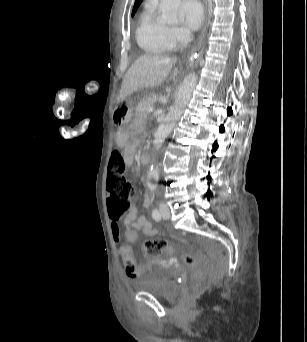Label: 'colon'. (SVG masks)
Listing matches in <instances>:
<instances>
[{
    "label": "colon",
    "instance_id": "obj_1",
    "mask_svg": "<svg viewBox=\"0 0 307 342\" xmlns=\"http://www.w3.org/2000/svg\"><path fill=\"white\" fill-rule=\"evenodd\" d=\"M126 166L121 153L114 150L111 154L109 167L107 172V190L109 198H111V207L109 210L115 221H121L122 217L133 207L132 196L134 193V185L128 181L125 176ZM133 226H126L127 241L135 242V232ZM142 249L147 256L158 257L163 251L166 253H177V246H169V243L163 239H153L143 243ZM120 254L125 255V271L127 276L132 280H137L145 271L144 267H139L134 263L132 257V243H121ZM184 268H190L192 281H189V288H200L204 283L206 276V266H199V261H195L194 257L189 254L182 256Z\"/></svg>",
    "mask_w": 307,
    "mask_h": 342
}]
</instances>
